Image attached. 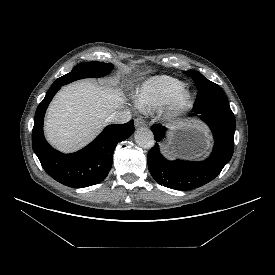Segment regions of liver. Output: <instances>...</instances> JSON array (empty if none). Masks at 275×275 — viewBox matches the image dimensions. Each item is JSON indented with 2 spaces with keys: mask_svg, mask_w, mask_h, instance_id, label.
I'll return each instance as SVG.
<instances>
[{
  "mask_svg": "<svg viewBox=\"0 0 275 275\" xmlns=\"http://www.w3.org/2000/svg\"><path fill=\"white\" fill-rule=\"evenodd\" d=\"M123 103L122 92L112 87L90 81L64 86L48 108L46 138L61 151H76L96 137L108 116Z\"/></svg>",
  "mask_w": 275,
  "mask_h": 275,
  "instance_id": "liver-1",
  "label": "liver"
}]
</instances>
